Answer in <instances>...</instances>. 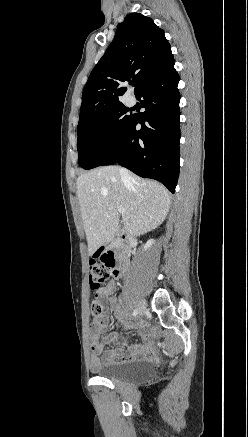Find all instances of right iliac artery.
Returning a JSON list of instances; mask_svg holds the SVG:
<instances>
[{
    "label": "right iliac artery",
    "instance_id": "obj_1",
    "mask_svg": "<svg viewBox=\"0 0 248 437\" xmlns=\"http://www.w3.org/2000/svg\"><path fill=\"white\" fill-rule=\"evenodd\" d=\"M137 314H138V310L135 309V310L133 311V316H136Z\"/></svg>",
    "mask_w": 248,
    "mask_h": 437
}]
</instances>
